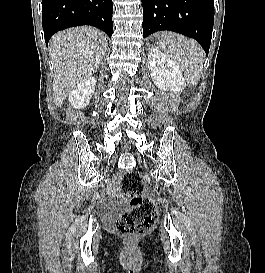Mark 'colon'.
Segmentation results:
<instances>
[{
  "instance_id": "1",
  "label": "colon",
  "mask_w": 265,
  "mask_h": 273,
  "mask_svg": "<svg viewBox=\"0 0 265 273\" xmlns=\"http://www.w3.org/2000/svg\"><path fill=\"white\" fill-rule=\"evenodd\" d=\"M121 188L130 198V208L122 213L115 223V230L125 236H141L150 233L158 221L155 203L142 197V176L137 171H127L121 178Z\"/></svg>"
}]
</instances>
